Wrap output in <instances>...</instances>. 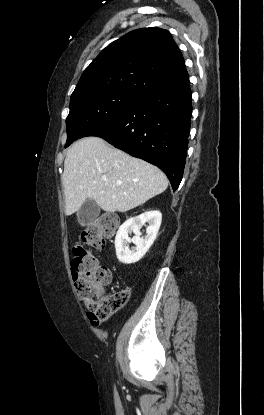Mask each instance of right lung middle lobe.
Masks as SVG:
<instances>
[{"label":"right lung middle lobe","instance_id":"1","mask_svg":"<svg viewBox=\"0 0 264 415\" xmlns=\"http://www.w3.org/2000/svg\"><path fill=\"white\" fill-rule=\"evenodd\" d=\"M142 98L128 92L111 91L70 99L65 148L116 119Z\"/></svg>","mask_w":264,"mask_h":415}]
</instances>
